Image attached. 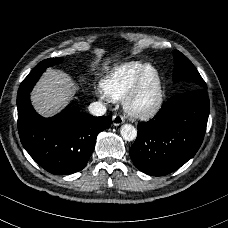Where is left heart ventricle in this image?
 I'll return each mask as SVG.
<instances>
[{
	"label": "left heart ventricle",
	"instance_id": "obj_1",
	"mask_svg": "<svg viewBox=\"0 0 228 228\" xmlns=\"http://www.w3.org/2000/svg\"><path fill=\"white\" fill-rule=\"evenodd\" d=\"M156 94V85H155V76L154 74H150L148 80L145 83L141 100L144 103H151L155 99Z\"/></svg>",
	"mask_w": 228,
	"mask_h": 228
}]
</instances>
